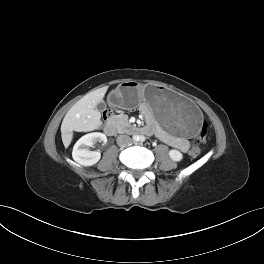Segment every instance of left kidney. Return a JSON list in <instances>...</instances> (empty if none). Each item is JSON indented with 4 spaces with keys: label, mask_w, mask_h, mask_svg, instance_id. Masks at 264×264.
<instances>
[{
    "label": "left kidney",
    "mask_w": 264,
    "mask_h": 264,
    "mask_svg": "<svg viewBox=\"0 0 264 264\" xmlns=\"http://www.w3.org/2000/svg\"><path fill=\"white\" fill-rule=\"evenodd\" d=\"M169 156L173 161H176V162H179L182 160V153L176 149H171L169 151Z\"/></svg>",
    "instance_id": "left-kidney-1"
}]
</instances>
